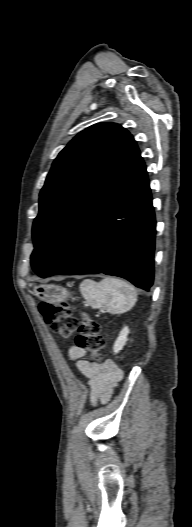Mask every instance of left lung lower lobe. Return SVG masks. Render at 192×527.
Returning a JSON list of instances; mask_svg holds the SVG:
<instances>
[{
	"mask_svg": "<svg viewBox=\"0 0 192 527\" xmlns=\"http://www.w3.org/2000/svg\"><path fill=\"white\" fill-rule=\"evenodd\" d=\"M155 215L142 158L114 184L67 249L41 277L104 273L149 291L154 278Z\"/></svg>",
	"mask_w": 192,
	"mask_h": 527,
	"instance_id": "left-lung-lower-lobe-1",
	"label": "left lung lower lobe"
}]
</instances>
